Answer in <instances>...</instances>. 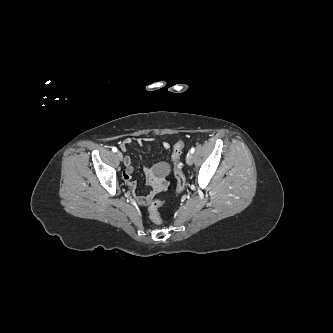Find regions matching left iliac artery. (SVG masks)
Listing matches in <instances>:
<instances>
[{
    "label": "left iliac artery",
    "instance_id": "1",
    "mask_svg": "<svg viewBox=\"0 0 333 333\" xmlns=\"http://www.w3.org/2000/svg\"><path fill=\"white\" fill-rule=\"evenodd\" d=\"M195 151L194 147L191 148L190 152L193 154Z\"/></svg>",
    "mask_w": 333,
    "mask_h": 333
}]
</instances>
